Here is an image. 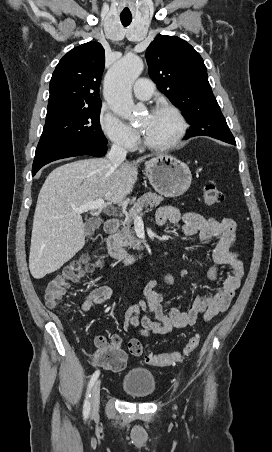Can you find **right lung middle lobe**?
I'll list each match as a JSON object with an SVG mask.
<instances>
[{
  "label": "right lung middle lobe",
  "mask_w": 272,
  "mask_h": 452,
  "mask_svg": "<svg viewBox=\"0 0 272 452\" xmlns=\"http://www.w3.org/2000/svg\"><path fill=\"white\" fill-rule=\"evenodd\" d=\"M101 106L67 109L46 115L37 147L60 146L70 143L105 145L99 115Z\"/></svg>",
  "instance_id": "obj_1"
}]
</instances>
